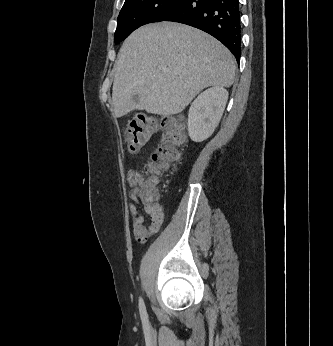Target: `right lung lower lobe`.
Returning <instances> with one entry per match:
<instances>
[{
  "instance_id": "1",
  "label": "right lung lower lobe",
  "mask_w": 333,
  "mask_h": 346,
  "mask_svg": "<svg viewBox=\"0 0 333 346\" xmlns=\"http://www.w3.org/2000/svg\"><path fill=\"white\" fill-rule=\"evenodd\" d=\"M238 0H184L164 21L201 29L241 56V21Z\"/></svg>"
}]
</instances>
